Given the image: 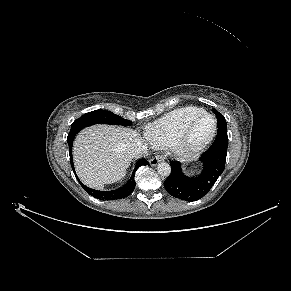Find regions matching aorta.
Wrapping results in <instances>:
<instances>
[{"mask_svg": "<svg viewBox=\"0 0 291 291\" xmlns=\"http://www.w3.org/2000/svg\"><path fill=\"white\" fill-rule=\"evenodd\" d=\"M157 170L161 176H165V177L169 176L171 173L170 165L168 163H165V162L158 164Z\"/></svg>", "mask_w": 291, "mask_h": 291, "instance_id": "762f6f07", "label": "aorta"}]
</instances>
